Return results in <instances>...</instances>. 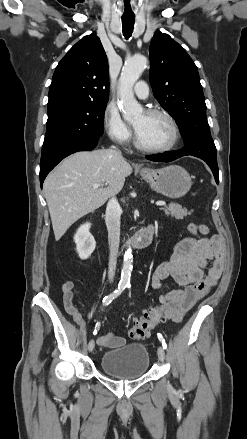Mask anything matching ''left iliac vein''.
<instances>
[{"label":"left iliac vein","mask_w":247,"mask_h":439,"mask_svg":"<svg viewBox=\"0 0 247 439\" xmlns=\"http://www.w3.org/2000/svg\"><path fill=\"white\" fill-rule=\"evenodd\" d=\"M157 354H158L159 360L161 362H164L165 361V352H164V349L161 346L158 347Z\"/></svg>","instance_id":"left-iliac-vein-1"}]
</instances>
